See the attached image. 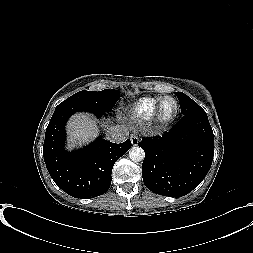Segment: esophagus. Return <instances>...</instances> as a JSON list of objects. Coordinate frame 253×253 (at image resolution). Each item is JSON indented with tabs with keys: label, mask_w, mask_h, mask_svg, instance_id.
<instances>
[{
	"label": "esophagus",
	"mask_w": 253,
	"mask_h": 253,
	"mask_svg": "<svg viewBox=\"0 0 253 253\" xmlns=\"http://www.w3.org/2000/svg\"><path fill=\"white\" fill-rule=\"evenodd\" d=\"M130 140L133 146H137L139 143V138L136 135H131Z\"/></svg>",
	"instance_id": "34e87169"
}]
</instances>
